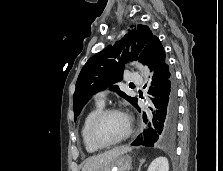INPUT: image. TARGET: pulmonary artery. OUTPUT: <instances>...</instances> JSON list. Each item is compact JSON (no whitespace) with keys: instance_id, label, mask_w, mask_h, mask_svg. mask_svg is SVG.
I'll return each instance as SVG.
<instances>
[{"instance_id":"e3ab8cb5","label":"pulmonary artery","mask_w":223,"mask_h":171,"mask_svg":"<svg viewBox=\"0 0 223 171\" xmlns=\"http://www.w3.org/2000/svg\"><path fill=\"white\" fill-rule=\"evenodd\" d=\"M128 81L132 82L134 84H141L142 83V78L138 74L132 73V74L129 75ZM106 96H107V92L106 91L99 92L96 95L97 102L101 103V104H104V102L106 100Z\"/></svg>"}]
</instances>
